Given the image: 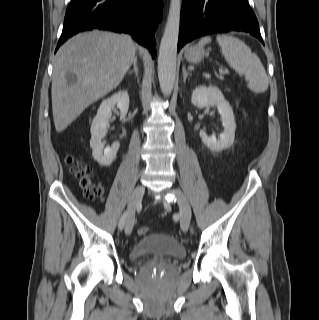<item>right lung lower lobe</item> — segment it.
Returning a JSON list of instances; mask_svg holds the SVG:
<instances>
[{
    "label": "right lung lower lobe",
    "mask_w": 319,
    "mask_h": 320,
    "mask_svg": "<svg viewBox=\"0 0 319 320\" xmlns=\"http://www.w3.org/2000/svg\"><path fill=\"white\" fill-rule=\"evenodd\" d=\"M162 10V0H72L56 50L74 34L98 28L129 33L155 56L154 33Z\"/></svg>",
    "instance_id": "98d812e1"
}]
</instances>
